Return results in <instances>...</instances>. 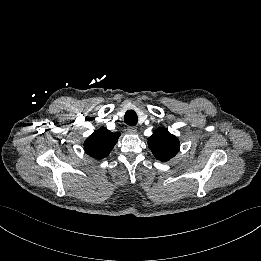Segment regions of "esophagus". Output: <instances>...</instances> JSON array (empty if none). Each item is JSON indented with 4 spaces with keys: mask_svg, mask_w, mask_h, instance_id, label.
I'll return each instance as SVG.
<instances>
[{
    "mask_svg": "<svg viewBox=\"0 0 261 261\" xmlns=\"http://www.w3.org/2000/svg\"><path fill=\"white\" fill-rule=\"evenodd\" d=\"M127 132L129 133V134H136L137 133V128L136 127H133V126H129V127H127Z\"/></svg>",
    "mask_w": 261,
    "mask_h": 261,
    "instance_id": "esophagus-1",
    "label": "esophagus"
}]
</instances>
